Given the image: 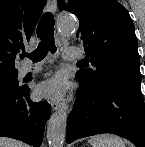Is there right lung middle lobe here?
Segmentation results:
<instances>
[{"label": "right lung middle lobe", "instance_id": "1", "mask_svg": "<svg viewBox=\"0 0 145 147\" xmlns=\"http://www.w3.org/2000/svg\"><path fill=\"white\" fill-rule=\"evenodd\" d=\"M18 72L0 74V91L13 92L21 88L17 80Z\"/></svg>", "mask_w": 145, "mask_h": 147}]
</instances>
